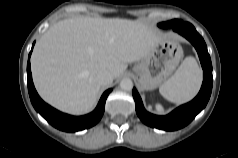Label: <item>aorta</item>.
<instances>
[{
	"label": "aorta",
	"instance_id": "1",
	"mask_svg": "<svg viewBox=\"0 0 238 158\" xmlns=\"http://www.w3.org/2000/svg\"><path fill=\"white\" fill-rule=\"evenodd\" d=\"M120 88L125 91H130L133 88V82L130 78H124L120 82Z\"/></svg>",
	"mask_w": 238,
	"mask_h": 158
}]
</instances>
